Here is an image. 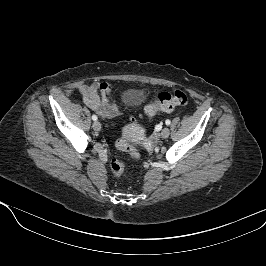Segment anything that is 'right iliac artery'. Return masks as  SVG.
Listing matches in <instances>:
<instances>
[{
	"label": "right iliac artery",
	"instance_id": "1",
	"mask_svg": "<svg viewBox=\"0 0 266 266\" xmlns=\"http://www.w3.org/2000/svg\"><path fill=\"white\" fill-rule=\"evenodd\" d=\"M92 119H93L94 121H96V120H97V116H96V115H93V116H92Z\"/></svg>",
	"mask_w": 266,
	"mask_h": 266
}]
</instances>
